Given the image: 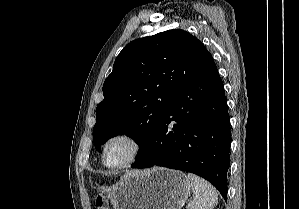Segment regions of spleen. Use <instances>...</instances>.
Instances as JSON below:
<instances>
[{
	"label": "spleen",
	"instance_id": "spleen-1",
	"mask_svg": "<svg viewBox=\"0 0 299 209\" xmlns=\"http://www.w3.org/2000/svg\"><path fill=\"white\" fill-rule=\"evenodd\" d=\"M193 197L190 199L188 209H213L218 203V194L215 188L206 180L192 174H187Z\"/></svg>",
	"mask_w": 299,
	"mask_h": 209
}]
</instances>
